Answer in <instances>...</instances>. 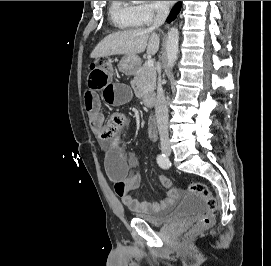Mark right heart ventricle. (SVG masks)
<instances>
[{
  "label": "right heart ventricle",
  "instance_id": "right-heart-ventricle-1",
  "mask_svg": "<svg viewBox=\"0 0 271 266\" xmlns=\"http://www.w3.org/2000/svg\"><path fill=\"white\" fill-rule=\"evenodd\" d=\"M110 17L114 25L121 29L135 28L141 25L136 6L130 1H112Z\"/></svg>",
  "mask_w": 271,
  "mask_h": 266
}]
</instances>
